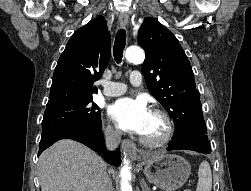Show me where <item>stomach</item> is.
I'll use <instances>...</instances> for the list:
<instances>
[{
	"label": "stomach",
	"mask_w": 251,
	"mask_h": 191,
	"mask_svg": "<svg viewBox=\"0 0 251 191\" xmlns=\"http://www.w3.org/2000/svg\"><path fill=\"white\" fill-rule=\"evenodd\" d=\"M144 161L139 167L145 165L144 173L151 183L159 185L165 191H175L182 187L190 175V163L175 153H157V155H142Z\"/></svg>",
	"instance_id": "0dacf381"
}]
</instances>
